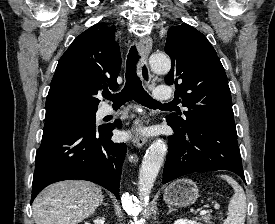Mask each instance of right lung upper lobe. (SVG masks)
<instances>
[{
    "label": "right lung upper lobe",
    "instance_id": "right-lung-upper-lobe-1",
    "mask_svg": "<svg viewBox=\"0 0 275 224\" xmlns=\"http://www.w3.org/2000/svg\"><path fill=\"white\" fill-rule=\"evenodd\" d=\"M115 27L101 23L80 34L60 58L46 99V113L66 107L97 109L101 89H117L121 67Z\"/></svg>",
    "mask_w": 275,
    "mask_h": 224
}]
</instances>
